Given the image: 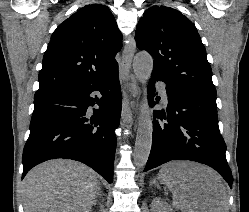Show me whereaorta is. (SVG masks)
Wrapping results in <instances>:
<instances>
[{
  "label": "aorta",
  "mask_w": 249,
  "mask_h": 212,
  "mask_svg": "<svg viewBox=\"0 0 249 212\" xmlns=\"http://www.w3.org/2000/svg\"><path fill=\"white\" fill-rule=\"evenodd\" d=\"M133 70L136 78L143 85L146 84L153 70V58L145 52H139L133 60ZM153 123L147 100L141 105L137 135L134 147V164L144 167L152 146Z\"/></svg>",
  "instance_id": "aorta-1"
}]
</instances>
